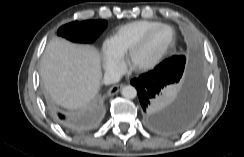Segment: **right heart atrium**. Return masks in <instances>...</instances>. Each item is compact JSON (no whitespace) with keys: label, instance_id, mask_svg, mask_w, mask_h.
<instances>
[{"label":"right heart atrium","instance_id":"obj_1","mask_svg":"<svg viewBox=\"0 0 244 157\" xmlns=\"http://www.w3.org/2000/svg\"><path fill=\"white\" fill-rule=\"evenodd\" d=\"M103 67L107 72H116L121 68L122 59L111 47L109 42H105L102 47Z\"/></svg>","mask_w":244,"mask_h":157}]
</instances>
